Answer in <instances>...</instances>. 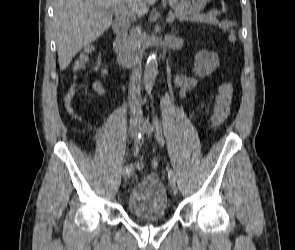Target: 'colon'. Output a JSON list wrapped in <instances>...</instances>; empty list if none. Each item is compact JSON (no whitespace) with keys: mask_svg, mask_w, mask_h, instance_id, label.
<instances>
[{"mask_svg":"<svg viewBox=\"0 0 295 250\" xmlns=\"http://www.w3.org/2000/svg\"><path fill=\"white\" fill-rule=\"evenodd\" d=\"M232 22L224 20L222 22V29L226 33L229 41L233 40ZM73 96V89L70 90L67 96L68 108L71 109L70 101ZM233 96V85L231 82H225L220 86L216 106L212 116V125L214 127L220 126L228 117ZM157 166V161L153 162V167Z\"/></svg>","mask_w":295,"mask_h":250,"instance_id":"obj_1","label":"colon"}]
</instances>
